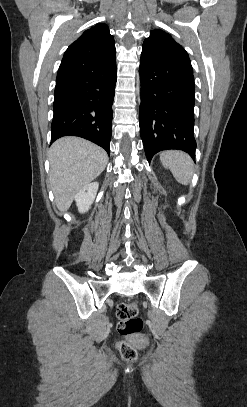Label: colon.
Listing matches in <instances>:
<instances>
[{"label": "colon", "mask_w": 247, "mask_h": 407, "mask_svg": "<svg viewBox=\"0 0 247 407\" xmlns=\"http://www.w3.org/2000/svg\"><path fill=\"white\" fill-rule=\"evenodd\" d=\"M116 317L118 319L117 329L122 336L141 332L143 321L138 317V306L135 302L118 304ZM117 346L124 361L133 362L137 358V351L129 342L122 340L118 342Z\"/></svg>", "instance_id": "obj_1"}]
</instances>
